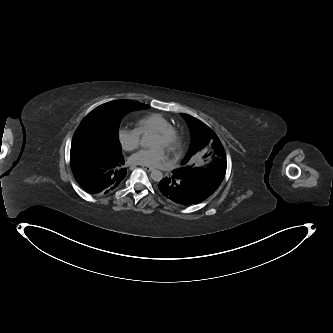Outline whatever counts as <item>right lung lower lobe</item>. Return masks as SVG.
<instances>
[{
    "instance_id": "right-lung-lower-lobe-1",
    "label": "right lung lower lobe",
    "mask_w": 333,
    "mask_h": 333,
    "mask_svg": "<svg viewBox=\"0 0 333 333\" xmlns=\"http://www.w3.org/2000/svg\"><path fill=\"white\" fill-rule=\"evenodd\" d=\"M70 164L78 184L92 195L119 187L127 174L123 156H111L89 142L72 143Z\"/></svg>"
}]
</instances>
